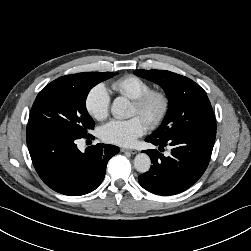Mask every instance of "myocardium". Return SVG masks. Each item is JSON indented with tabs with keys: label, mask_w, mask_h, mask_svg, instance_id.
<instances>
[{
	"label": "myocardium",
	"mask_w": 251,
	"mask_h": 251,
	"mask_svg": "<svg viewBox=\"0 0 251 251\" xmlns=\"http://www.w3.org/2000/svg\"><path fill=\"white\" fill-rule=\"evenodd\" d=\"M139 113L146 118L149 127L159 126L169 110V98L164 91L149 90L133 100Z\"/></svg>",
	"instance_id": "myocardium-1"
}]
</instances>
